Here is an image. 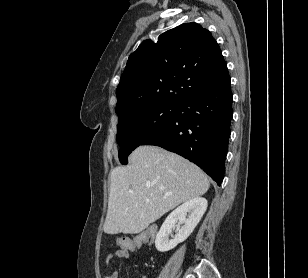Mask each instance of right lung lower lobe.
Instances as JSON below:
<instances>
[{"label": "right lung lower lobe", "instance_id": "right-lung-lower-lobe-1", "mask_svg": "<svg viewBox=\"0 0 308 278\" xmlns=\"http://www.w3.org/2000/svg\"><path fill=\"white\" fill-rule=\"evenodd\" d=\"M230 78L178 104L176 118L141 145L175 152L202 168L220 186L233 115Z\"/></svg>", "mask_w": 308, "mask_h": 278}]
</instances>
